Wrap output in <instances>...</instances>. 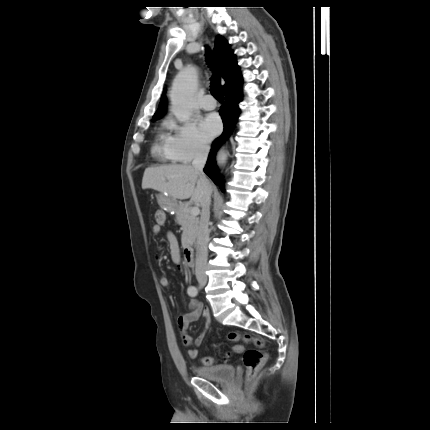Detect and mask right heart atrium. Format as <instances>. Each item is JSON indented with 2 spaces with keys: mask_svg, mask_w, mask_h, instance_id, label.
<instances>
[{
  "mask_svg": "<svg viewBox=\"0 0 430 430\" xmlns=\"http://www.w3.org/2000/svg\"><path fill=\"white\" fill-rule=\"evenodd\" d=\"M167 127L166 151L170 160L188 163L208 153L209 145L194 123H178L170 119Z\"/></svg>",
  "mask_w": 430,
  "mask_h": 430,
  "instance_id": "right-heart-atrium-1",
  "label": "right heart atrium"
}]
</instances>
